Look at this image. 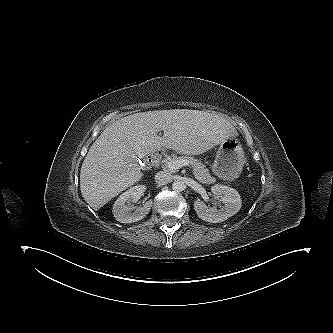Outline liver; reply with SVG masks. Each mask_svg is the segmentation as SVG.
<instances>
[{"mask_svg": "<svg viewBox=\"0 0 333 333\" xmlns=\"http://www.w3.org/2000/svg\"><path fill=\"white\" fill-rule=\"evenodd\" d=\"M160 130L163 137L157 135ZM236 135L225 119L197 110L148 111L121 118L90 147L80 171L82 196L97 211L142 178L139 158L162 147L200 155Z\"/></svg>", "mask_w": 333, "mask_h": 333, "instance_id": "obj_1", "label": "liver"}]
</instances>
